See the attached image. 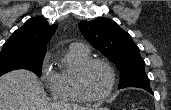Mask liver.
Here are the masks:
<instances>
[{"label": "liver", "instance_id": "obj_1", "mask_svg": "<svg viewBox=\"0 0 171 110\" xmlns=\"http://www.w3.org/2000/svg\"><path fill=\"white\" fill-rule=\"evenodd\" d=\"M0 110H90L70 104L49 103L37 76L14 70L0 77Z\"/></svg>", "mask_w": 171, "mask_h": 110}]
</instances>
